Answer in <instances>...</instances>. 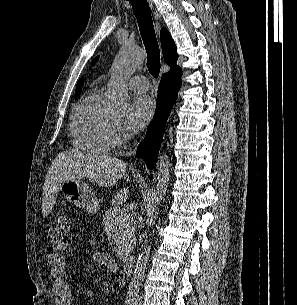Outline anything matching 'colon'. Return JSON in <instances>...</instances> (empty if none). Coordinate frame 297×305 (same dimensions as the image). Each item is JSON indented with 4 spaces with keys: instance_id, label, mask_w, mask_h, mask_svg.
I'll return each instance as SVG.
<instances>
[{
    "instance_id": "1",
    "label": "colon",
    "mask_w": 297,
    "mask_h": 305,
    "mask_svg": "<svg viewBox=\"0 0 297 305\" xmlns=\"http://www.w3.org/2000/svg\"><path fill=\"white\" fill-rule=\"evenodd\" d=\"M72 237L71 219L68 215H60L49 234V250L51 253H65Z\"/></svg>"
}]
</instances>
